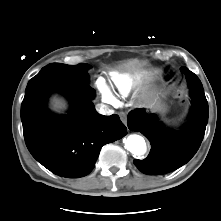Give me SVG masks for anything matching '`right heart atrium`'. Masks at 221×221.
Wrapping results in <instances>:
<instances>
[{
	"mask_svg": "<svg viewBox=\"0 0 221 221\" xmlns=\"http://www.w3.org/2000/svg\"><path fill=\"white\" fill-rule=\"evenodd\" d=\"M99 89H100L105 101H107L109 103H114L115 102V98L113 97L112 93L110 92V90L103 83H100Z\"/></svg>",
	"mask_w": 221,
	"mask_h": 221,
	"instance_id": "obj_1",
	"label": "right heart atrium"
}]
</instances>
